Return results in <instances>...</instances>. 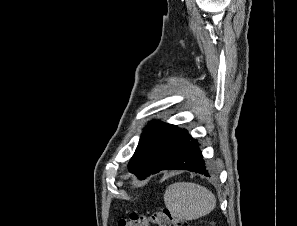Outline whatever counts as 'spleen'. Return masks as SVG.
<instances>
[{"instance_id": "3e777b00", "label": "spleen", "mask_w": 297, "mask_h": 226, "mask_svg": "<svg viewBox=\"0 0 297 226\" xmlns=\"http://www.w3.org/2000/svg\"><path fill=\"white\" fill-rule=\"evenodd\" d=\"M216 197L206 187L192 182H176L164 193V203L171 215L181 220H195L216 207Z\"/></svg>"}]
</instances>
